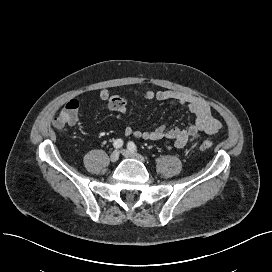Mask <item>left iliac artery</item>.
I'll return each instance as SVG.
<instances>
[{"instance_id": "1", "label": "left iliac artery", "mask_w": 272, "mask_h": 272, "mask_svg": "<svg viewBox=\"0 0 272 272\" xmlns=\"http://www.w3.org/2000/svg\"><path fill=\"white\" fill-rule=\"evenodd\" d=\"M128 149L132 152H136L137 151V147L135 145L134 142H129L128 145H127Z\"/></svg>"}]
</instances>
